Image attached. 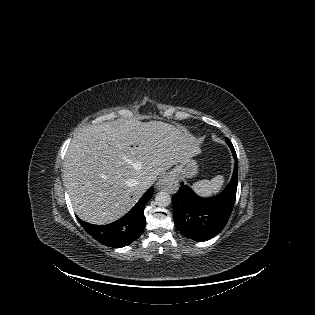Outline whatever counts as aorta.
Wrapping results in <instances>:
<instances>
[{"label":"aorta","mask_w":315,"mask_h":315,"mask_svg":"<svg viewBox=\"0 0 315 315\" xmlns=\"http://www.w3.org/2000/svg\"><path fill=\"white\" fill-rule=\"evenodd\" d=\"M155 202L159 207H166L171 203V196L165 191L158 192L155 196Z\"/></svg>","instance_id":"aorta-1"}]
</instances>
